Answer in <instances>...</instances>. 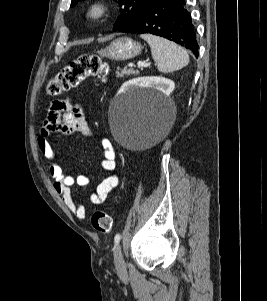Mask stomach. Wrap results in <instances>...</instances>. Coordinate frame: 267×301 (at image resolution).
Returning <instances> with one entry per match:
<instances>
[{
    "label": "stomach",
    "instance_id": "0dacf381",
    "mask_svg": "<svg viewBox=\"0 0 267 301\" xmlns=\"http://www.w3.org/2000/svg\"><path fill=\"white\" fill-rule=\"evenodd\" d=\"M140 43L128 37H121L113 40L106 48L101 49L99 54L115 61L128 60L141 53Z\"/></svg>",
    "mask_w": 267,
    "mask_h": 301
}]
</instances>
